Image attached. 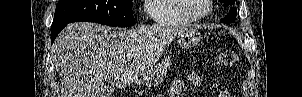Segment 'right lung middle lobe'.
I'll list each match as a JSON object with an SVG mask.
<instances>
[{"label": "right lung middle lobe", "mask_w": 302, "mask_h": 97, "mask_svg": "<svg viewBox=\"0 0 302 97\" xmlns=\"http://www.w3.org/2000/svg\"><path fill=\"white\" fill-rule=\"evenodd\" d=\"M79 21L133 26L132 0H59L51 28Z\"/></svg>", "instance_id": "1"}]
</instances>
